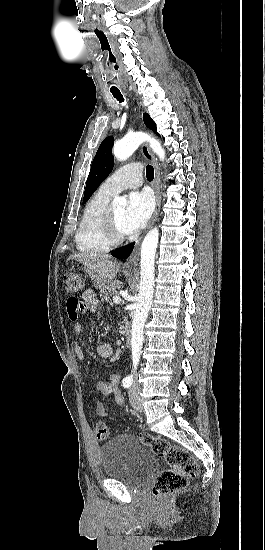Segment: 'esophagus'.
Wrapping results in <instances>:
<instances>
[{
    "instance_id": "obj_1",
    "label": "esophagus",
    "mask_w": 265,
    "mask_h": 550,
    "mask_svg": "<svg viewBox=\"0 0 265 550\" xmlns=\"http://www.w3.org/2000/svg\"><path fill=\"white\" fill-rule=\"evenodd\" d=\"M139 109H140V107H139ZM141 151H142V154L144 155V157L147 160L151 161V163L153 164V167H154L153 187H154L155 196H156V207H155V211H154V214L152 216L151 222L148 226V229H150L153 226V224L155 223V221L158 217L160 206H161L160 172H159V166H158L157 160H156L155 156L153 155V153L151 152V149L149 148L148 144H144L142 146ZM141 240H142V237H140L136 241L135 247H134L132 253L130 254V256L128 257V259L125 263L127 268L134 269V268L137 267L138 261H139V247H140V244H141Z\"/></svg>"
}]
</instances>
